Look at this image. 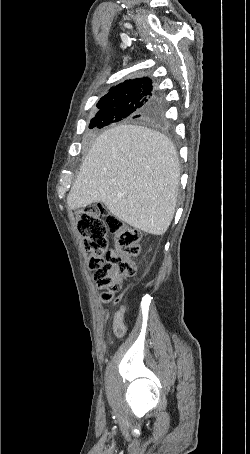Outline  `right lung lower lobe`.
Wrapping results in <instances>:
<instances>
[{
    "instance_id": "98d812e1",
    "label": "right lung lower lobe",
    "mask_w": 250,
    "mask_h": 454,
    "mask_svg": "<svg viewBox=\"0 0 250 454\" xmlns=\"http://www.w3.org/2000/svg\"><path fill=\"white\" fill-rule=\"evenodd\" d=\"M152 108L154 109V111L156 112V115L160 118L163 117L164 115V104H163V101L162 99H158L152 106Z\"/></svg>"
}]
</instances>
